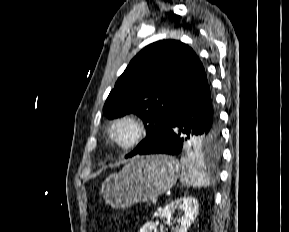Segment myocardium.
<instances>
[{"label":"myocardium","instance_id":"f54148a6","mask_svg":"<svg viewBox=\"0 0 289 232\" xmlns=\"http://www.w3.org/2000/svg\"><path fill=\"white\" fill-rule=\"evenodd\" d=\"M122 124H129L133 128V136L126 142H120L116 139L114 131L116 127ZM109 138L118 147L122 149H130L138 146L144 141L148 134V125L140 116L132 113L123 114L116 117L109 127Z\"/></svg>","mask_w":289,"mask_h":232}]
</instances>
